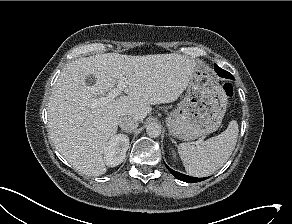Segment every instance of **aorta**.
<instances>
[{
  "mask_svg": "<svg viewBox=\"0 0 292 224\" xmlns=\"http://www.w3.org/2000/svg\"><path fill=\"white\" fill-rule=\"evenodd\" d=\"M146 133L153 138L158 137L161 134V127L158 123L150 122L146 126Z\"/></svg>",
  "mask_w": 292,
  "mask_h": 224,
  "instance_id": "762f6f07",
  "label": "aorta"
}]
</instances>
